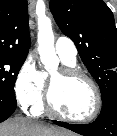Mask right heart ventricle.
I'll list each match as a JSON object with an SVG mask.
<instances>
[{"label": "right heart ventricle", "instance_id": "e07e8e85", "mask_svg": "<svg viewBox=\"0 0 117 136\" xmlns=\"http://www.w3.org/2000/svg\"><path fill=\"white\" fill-rule=\"evenodd\" d=\"M62 60V59H61ZM63 64L65 66H70V67H73L75 66V62H68V61H64L62 60ZM43 76H44V80L46 82L47 80V74L46 73H43ZM33 113L36 114V115H40L44 112V104L42 102V99L40 100V102L38 104H36L33 109H32Z\"/></svg>", "mask_w": 117, "mask_h": 136}]
</instances>
